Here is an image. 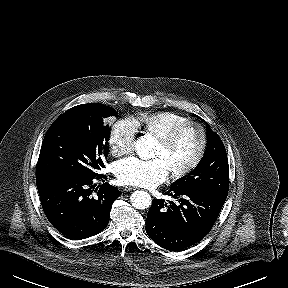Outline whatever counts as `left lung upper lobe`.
<instances>
[{
    "mask_svg": "<svg viewBox=\"0 0 288 288\" xmlns=\"http://www.w3.org/2000/svg\"><path fill=\"white\" fill-rule=\"evenodd\" d=\"M172 188L200 191L226 200L229 190V166L225 146L207 126V147L197 167L173 183Z\"/></svg>",
    "mask_w": 288,
    "mask_h": 288,
    "instance_id": "1",
    "label": "left lung upper lobe"
}]
</instances>
